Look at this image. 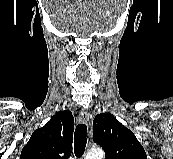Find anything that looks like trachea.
<instances>
[{
  "instance_id": "trachea-1",
  "label": "trachea",
  "mask_w": 173,
  "mask_h": 159,
  "mask_svg": "<svg viewBox=\"0 0 173 159\" xmlns=\"http://www.w3.org/2000/svg\"><path fill=\"white\" fill-rule=\"evenodd\" d=\"M87 144V126L85 124H78L74 134V153L76 157L80 158Z\"/></svg>"
}]
</instances>
